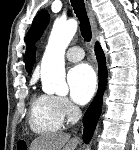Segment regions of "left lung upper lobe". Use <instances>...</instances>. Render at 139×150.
Returning <instances> with one entry per match:
<instances>
[{"mask_svg": "<svg viewBox=\"0 0 139 150\" xmlns=\"http://www.w3.org/2000/svg\"><path fill=\"white\" fill-rule=\"evenodd\" d=\"M48 22H49V14L47 11L43 10L37 14V16L35 17L32 23L30 30L28 31L27 38H26L27 50L25 54V65L27 70H28L29 55L32 46L34 45L36 40L40 38Z\"/></svg>", "mask_w": 139, "mask_h": 150, "instance_id": "left-lung-upper-lobe-1", "label": "left lung upper lobe"}]
</instances>
